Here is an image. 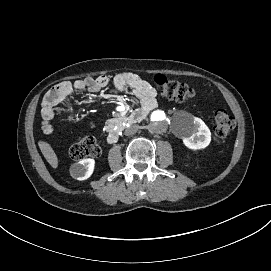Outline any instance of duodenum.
Returning a JSON list of instances; mask_svg holds the SVG:
<instances>
[{"label":"duodenum","instance_id":"410a0bca","mask_svg":"<svg viewBox=\"0 0 271 271\" xmlns=\"http://www.w3.org/2000/svg\"><path fill=\"white\" fill-rule=\"evenodd\" d=\"M145 114H146L145 109H137L136 111H134L130 115L129 121L131 123H138L144 118ZM118 137H119V135H118V133L116 131H111L108 134L107 141H108V143L113 144V143L117 142Z\"/></svg>","mask_w":271,"mask_h":271}]
</instances>
